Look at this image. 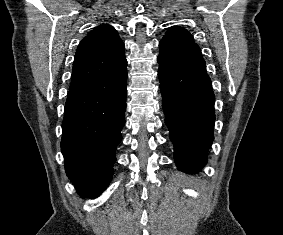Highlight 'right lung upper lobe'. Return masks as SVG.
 I'll use <instances>...</instances> for the list:
<instances>
[{"label":"right lung upper lobe","mask_w":283,"mask_h":235,"mask_svg":"<svg viewBox=\"0 0 283 235\" xmlns=\"http://www.w3.org/2000/svg\"><path fill=\"white\" fill-rule=\"evenodd\" d=\"M126 66L124 44L114 27H96L77 48L70 89L117 76Z\"/></svg>","instance_id":"obj_1"}]
</instances>
